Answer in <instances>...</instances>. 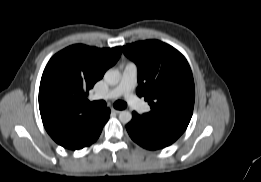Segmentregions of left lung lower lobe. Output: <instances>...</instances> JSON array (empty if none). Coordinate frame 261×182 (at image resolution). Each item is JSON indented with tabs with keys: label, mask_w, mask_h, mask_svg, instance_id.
<instances>
[{
	"label": "left lung lower lobe",
	"mask_w": 261,
	"mask_h": 182,
	"mask_svg": "<svg viewBox=\"0 0 261 182\" xmlns=\"http://www.w3.org/2000/svg\"><path fill=\"white\" fill-rule=\"evenodd\" d=\"M126 129L133 141L149 150L171 145L184 132L169 126L148 123L136 112L132 113V120L126 125Z\"/></svg>",
	"instance_id": "0a47b994"
}]
</instances>
